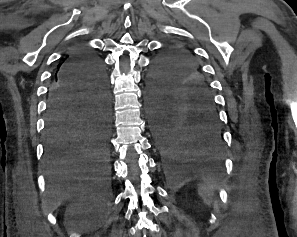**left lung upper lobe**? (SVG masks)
<instances>
[{"label": "left lung upper lobe", "instance_id": "obj_1", "mask_svg": "<svg viewBox=\"0 0 297 237\" xmlns=\"http://www.w3.org/2000/svg\"><path fill=\"white\" fill-rule=\"evenodd\" d=\"M147 95L150 101L183 105L193 101L214 104L210 86L189 52L168 47L148 74Z\"/></svg>", "mask_w": 297, "mask_h": 237}]
</instances>
